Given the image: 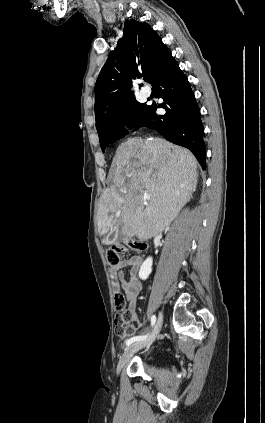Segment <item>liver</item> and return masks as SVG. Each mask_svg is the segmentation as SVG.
Instances as JSON below:
<instances>
[{
  "label": "liver",
  "instance_id": "liver-1",
  "mask_svg": "<svg viewBox=\"0 0 265 423\" xmlns=\"http://www.w3.org/2000/svg\"><path fill=\"white\" fill-rule=\"evenodd\" d=\"M113 185L99 200L98 231L117 222L126 237L145 240L160 234L178 216L197 186V160L187 149L157 138L121 143L113 158ZM150 199L144 205L145 195Z\"/></svg>",
  "mask_w": 265,
  "mask_h": 423
}]
</instances>
